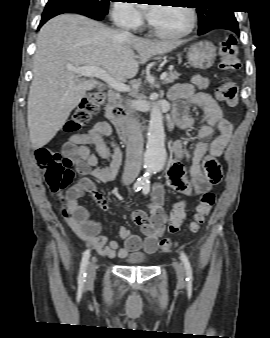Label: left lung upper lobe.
Segmentation results:
<instances>
[{"label":"left lung upper lobe","mask_w":270,"mask_h":338,"mask_svg":"<svg viewBox=\"0 0 270 338\" xmlns=\"http://www.w3.org/2000/svg\"><path fill=\"white\" fill-rule=\"evenodd\" d=\"M229 0H198L197 7L199 18L198 34H204L212 30L215 25L234 18L233 10L227 7Z\"/></svg>","instance_id":"left-lung-upper-lobe-1"}]
</instances>
